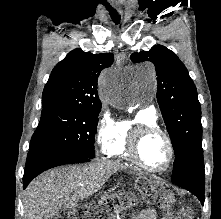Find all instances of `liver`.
Here are the masks:
<instances>
[{"instance_id":"liver-1","label":"liver","mask_w":221,"mask_h":219,"mask_svg":"<svg viewBox=\"0 0 221 219\" xmlns=\"http://www.w3.org/2000/svg\"><path fill=\"white\" fill-rule=\"evenodd\" d=\"M124 168L111 161L50 170L35 178L24 193V219H53L99 191L110 176Z\"/></svg>"}]
</instances>
